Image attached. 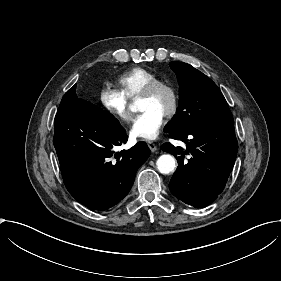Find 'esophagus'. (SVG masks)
I'll list each match as a JSON object with an SVG mask.
<instances>
[{"mask_svg": "<svg viewBox=\"0 0 281 281\" xmlns=\"http://www.w3.org/2000/svg\"><path fill=\"white\" fill-rule=\"evenodd\" d=\"M147 145H148V147L150 148V150H151L152 152L157 151V146H156L153 142L147 141Z\"/></svg>", "mask_w": 281, "mask_h": 281, "instance_id": "obj_1", "label": "esophagus"}]
</instances>
